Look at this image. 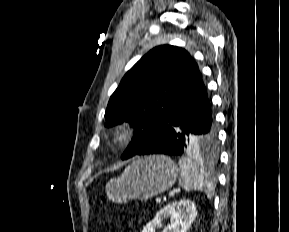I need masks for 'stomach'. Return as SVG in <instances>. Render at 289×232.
I'll list each match as a JSON object with an SVG mask.
<instances>
[{
	"mask_svg": "<svg viewBox=\"0 0 289 232\" xmlns=\"http://www.w3.org/2000/svg\"><path fill=\"white\" fill-rule=\"evenodd\" d=\"M178 171L177 165L167 156L139 158L120 177L107 183L106 193L115 203L151 199L173 186Z\"/></svg>",
	"mask_w": 289,
	"mask_h": 232,
	"instance_id": "obj_1",
	"label": "stomach"
}]
</instances>
